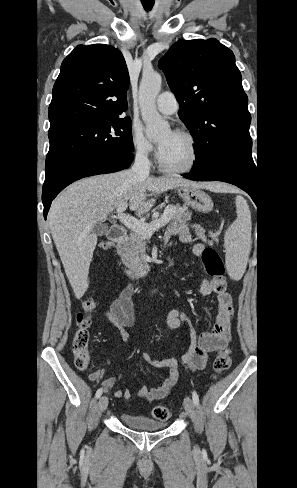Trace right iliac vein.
<instances>
[{
  "label": "right iliac vein",
  "instance_id": "right-iliac-vein-1",
  "mask_svg": "<svg viewBox=\"0 0 297 488\" xmlns=\"http://www.w3.org/2000/svg\"><path fill=\"white\" fill-rule=\"evenodd\" d=\"M108 406V398L106 396H102L98 402V413H103Z\"/></svg>",
  "mask_w": 297,
  "mask_h": 488
}]
</instances>
